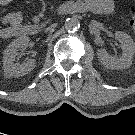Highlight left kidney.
Here are the masks:
<instances>
[{"mask_svg": "<svg viewBox=\"0 0 135 135\" xmlns=\"http://www.w3.org/2000/svg\"><path fill=\"white\" fill-rule=\"evenodd\" d=\"M114 37L120 43L122 56L120 58L112 57L104 48H101L97 52L98 58L108 69L128 68L132 65L135 54V42L128 34L121 31L115 32Z\"/></svg>", "mask_w": 135, "mask_h": 135, "instance_id": "1", "label": "left kidney"}]
</instances>
